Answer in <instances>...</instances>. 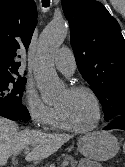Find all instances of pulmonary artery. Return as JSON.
Masks as SVG:
<instances>
[{
    "label": "pulmonary artery",
    "mask_w": 125,
    "mask_h": 167,
    "mask_svg": "<svg viewBox=\"0 0 125 167\" xmlns=\"http://www.w3.org/2000/svg\"><path fill=\"white\" fill-rule=\"evenodd\" d=\"M54 64L60 72L66 75H72L76 68L75 57L68 48H62L55 54Z\"/></svg>",
    "instance_id": "obj_1"
}]
</instances>
